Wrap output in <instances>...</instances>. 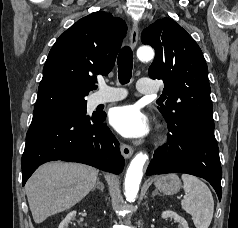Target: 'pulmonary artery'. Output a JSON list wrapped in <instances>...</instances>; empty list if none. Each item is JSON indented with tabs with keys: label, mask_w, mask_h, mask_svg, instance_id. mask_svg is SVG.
I'll return each mask as SVG.
<instances>
[{
	"label": "pulmonary artery",
	"mask_w": 238,
	"mask_h": 228,
	"mask_svg": "<svg viewBox=\"0 0 238 228\" xmlns=\"http://www.w3.org/2000/svg\"><path fill=\"white\" fill-rule=\"evenodd\" d=\"M138 91L145 95H154L158 89L155 81L150 78H142L137 85ZM126 93L123 90L115 89L106 84L100 85V93L95 97V104H103L121 100L125 97Z\"/></svg>",
	"instance_id": "1"
}]
</instances>
